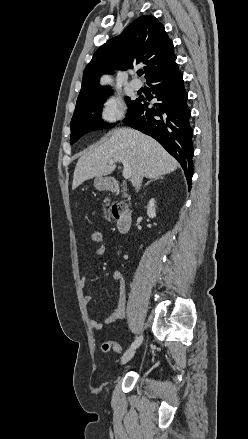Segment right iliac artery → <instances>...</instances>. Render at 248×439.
Returning a JSON list of instances; mask_svg holds the SVG:
<instances>
[{
  "mask_svg": "<svg viewBox=\"0 0 248 439\" xmlns=\"http://www.w3.org/2000/svg\"><path fill=\"white\" fill-rule=\"evenodd\" d=\"M141 334H144V331H141ZM145 341V338L142 337L141 335H138L137 337H135V341L132 343L131 347L132 348H136L139 345H142V342Z\"/></svg>",
  "mask_w": 248,
  "mask_h": 439,
  "instance_id": "obj_1",
  "label": "right iliac artery"
}]
</instances>
